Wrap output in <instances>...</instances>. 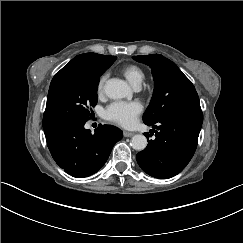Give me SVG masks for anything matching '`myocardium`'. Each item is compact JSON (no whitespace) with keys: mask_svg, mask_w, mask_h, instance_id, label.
Returning <instances> with one entry per match:
<instances>
[{"mask_svg":"<svg viewBox=\"0 0 243 243\" xmlns=\"http://www.w3.org/2000/svg\"><path fill=\"white\" fill-rule=\"evenodd\" d=\"M143 87L146 89V90H151V88H152V86H151V84H149V83H144L143 84Z\"/></svg>","mask_w":243,"mask_h":243,"instance_id":"f54148a6","label":"myocardium"}]
</instances>
